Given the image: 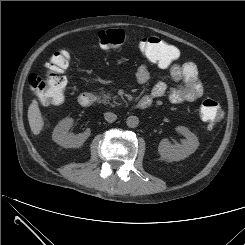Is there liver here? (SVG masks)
<instances>
[{"mask_svg":"<svg viewBox=\"0 0 245 245\" xmlns=\"http://www.w3.org/2000/svg\"><path fill=\"white\" fill-rule=\"evenodd\" d=\"M27 116L32 133L34 135L40 134L44 126V121L36 99H33L29 105Z\"/></svg>","mask_w":245,"mask_h":245,"instance_id":"obj_1","label":"liver"}]
</instances>
